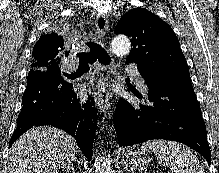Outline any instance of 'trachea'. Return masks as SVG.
<instances>
[{"label": "trachea", "mask_w": 219, "mask_h": 173, "mask_svg": "<svg viewBox=\"0 0 219 173\" xmlns=\"http://www.w3.org/2000/svg\"><path fill=\"white\" fill-rule=\"evenodd\" d=\"M86 45L89 48V52H82L77 54L79 58V68L88 69L89 64L95 62L97 59L102 66H110V57L99 43L89 41L86 42Z\"/></svg>", "instance_id": "obj_1"}]
</instances>
